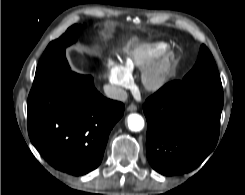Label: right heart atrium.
I'll return each instance as SVG.
<instances>
[{"mask_svg":"<svg viewBox=\"0 0 245 195\" xmlns=\"http://www.w3.org/2000/svg\"><path fill=\"white\" fill-rule=\"evenodd\" d=\"M108 80L118 92L131 85L130 75L113 61L108 62Z\"/></svg>","mask_w":245,"mask_h":195,"instance_id":"obj_1","label":"right heart atrium"}]
</instances>
